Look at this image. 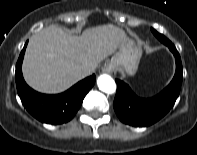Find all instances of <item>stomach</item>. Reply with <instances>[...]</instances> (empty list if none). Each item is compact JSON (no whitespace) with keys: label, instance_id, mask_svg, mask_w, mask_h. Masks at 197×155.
I'll list each match as a JSON object with an SVG mask.
<instances>
[{"label":"stomach","instance_id":"0dacf381","mask_svg":"<svg viewBox=\"0 0 197 155\" xmlns=\"http://www.w3.org/2000/svg\"><path fill=\"white\" fill-rule=\"evenodd\" d=\"M142 50L140 46L134 45L127 40L122 43L119 51L110 61L114 68L119 72L127 75H134L138 69L141 59Z\"/></svg>","mask_w":197,"mask_h":155}]
</instances>
